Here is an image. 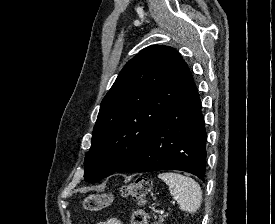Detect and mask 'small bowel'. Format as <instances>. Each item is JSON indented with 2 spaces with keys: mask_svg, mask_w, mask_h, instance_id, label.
I'll return each instance as SVG.
<instances>
[{
  "mask_svg": "<svg viewBox=\"0 0 275 224\" xmlns=\"http://www.w3.org/2000/svg\"><path fill=\"white\" fill-rule=\"evenodd\" d=\"M100 224H122L120 221L117 219L111 218L107 220L106 222L100 223Z\"/></svg>",
  "mask_w": 275,
  "mask_h": 224,
  "instance_id": "obj_1",
  "label": "small bowel"
}]
</instances>
